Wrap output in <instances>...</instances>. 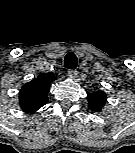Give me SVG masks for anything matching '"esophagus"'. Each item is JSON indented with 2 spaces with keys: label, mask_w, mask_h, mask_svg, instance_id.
<instances>
[{
  "label": "esophagus",
  "mask_w": 135,
  "mask_h": 153,
  "mask_svg": "<svg viewBox=\"0 0 135 153\" xmlns=\"http://www.w3.org/2000/svg\"><path fill=\"white\" fill-rule=\"evenodd\" d=\"M77 74H78V71L77 70H69L68 71V76L70 78H72V79L76 78Z\"/></svg>",
  "instance_id": "34e87169"
}]
</instances>
